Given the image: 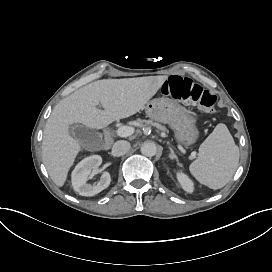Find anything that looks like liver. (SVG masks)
Returning <instances> with one entry per match:
<instances>
[{
    "mask_svg": "<svg viewBox=\"0 0 272 272\" xmlns=\"http://www.w3.org/2000/svg\"><path fill=\"white\" fill-rule=\"evenodd\" d=\"M168 75L123 79H104L74 91L62 99L47 120L42 141L43 163L58 187H63L82 144L71 133V125L81 123L103 129L114 121L141 111ZM102 104L104 111L97 106Z\"/></svg>",
    "mask_w": 272,
    "mask_h": 272,
    "instance_id": "liver-1",
    "label": "liver"
}]
</instances>
